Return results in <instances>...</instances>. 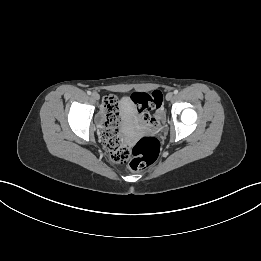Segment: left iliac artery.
<instances>
[{"mask_svg": "<svg viewBox=\"0 0 261 261\" xmlns=\"http://www.w3.org/2000/svg\"><path fill=\"white\" fill-rule=\"evenodd\" d=\"M174 94H178V90L176 89V90H174Z\"/></svg>", "mask_w": 261, "mask_h": 261, "instance_id": "44dca946", "label": "left iliac artery"}]
</instances>
